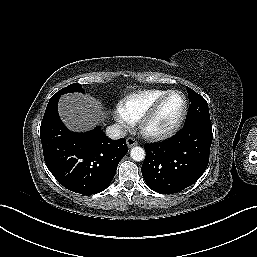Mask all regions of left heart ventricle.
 Returning a JSON list of instances; mask_svg holds the SVG:
<instances>
[{
    "label": "left heart ventricle",
    "instance_id": "1",
    "mask_svg": "<svg viewBox=\"0 0 257 257\" xmlns=\"http://www.w3.org/2000/svg\"><path fill=\"white\" fill-rule=\"evenodd\" d=\"M183 105L184 102L181 95L174 94L169 97L151 121V129L163 131L172 126L179 118L183 110Z\"/></svg>",
    "mask_w": 257,
    "mask_h": 257
}]
</instances>
